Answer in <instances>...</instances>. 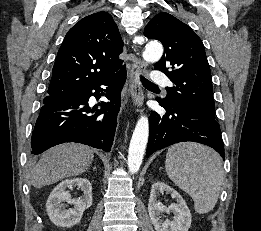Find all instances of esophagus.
Here are the masks:
<instances>
[{
    "label": "esophagus",
    "instance_id": "esophagus-1",
    "mask_svg": "<svg viewBox=\"0 0 261 231\" xmlns=\"http://www.w3.org/2000/svg\"><path fill=\"white\" fill-rule=\"evenodd\" d=\"M139 36H135L133 41L137 42L139 40ZM145 63L136 59L132 68L130 69V96L133 104L137 107H141L144 102V92L141 87L139 76L145 70Z\"/></svg>",
    "mask_w": 261,
    "mask_h": 231
}]
</instances>
